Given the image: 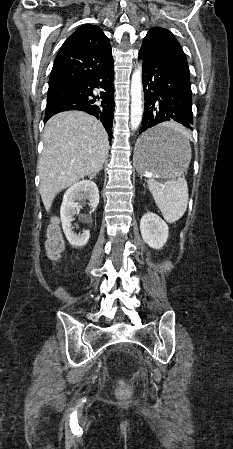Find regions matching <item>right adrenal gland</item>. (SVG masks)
<instances>
[{
    "instance_id": "1",
    "label": "right adrenal gland",
    "mask_w": 233,
    "mask_h": 449,
    "mask_svg": "<svg viewBox=\"0 0 233 449\" xmlns=\"http://www.w3.org/2000/svg\"><path fill=\"white\" fill-rule=\"evenodd\" d=\"M97 173H98V172H94L93 174H91V175H90V178H91V179H94V177L96 176Z\"/></svg>"
}]
</instances>
